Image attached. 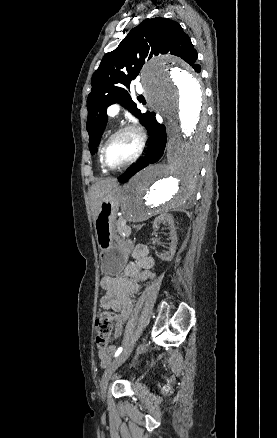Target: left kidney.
<instances>
[{
	"mask_svg": "<svg viewBox=\"0 0 277 438\" xmlns=\"http://www.w3.org/2000/svg\"><path fill=\"white\" fill-rule=\"evenodd\" d=\"M160 222H168V226L170 228L171 244L169 248L170 252H166V254H163V256H159V258H161V260H165V262H171V260H173L175 256L176 246H177V234H176L175 222L173 220L172 214H167V212H165V214H160L158 218H155L153 222V230L157 228Z\"/></svg>",
	"mask_w": 277,
	"mask_h": 438,
	"instance_id": "obj_1",
	"label": "left kidney"
}]
</instances>
